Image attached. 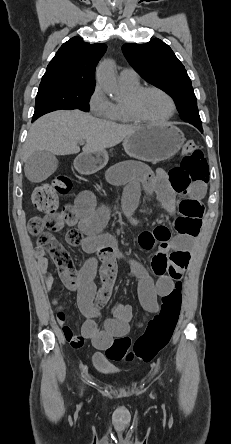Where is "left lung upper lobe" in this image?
<instances>
[{"instance_id": "obj_1", "label": "left lung upper lobe", "mask_w": 231, "mask_h": 444, "mask_svg": "<svg viewBox=\"0 0 231 444\" xmlns=\"http://www.w3.org/2000/svg\"><path fill=\"white\" fill-rule=\"evenodd\" d=\"M122 50L143 79L173 97L184 121L202 127L191 80L167 44L154 38L146 44L126 43Z\"/></svg>"}]
</instances>
